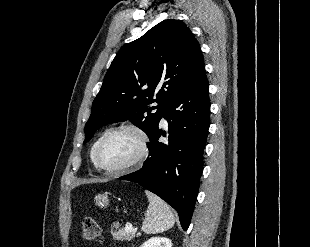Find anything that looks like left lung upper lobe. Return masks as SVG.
<instances>
[{"label":"left lung upper lobe","instance_id":"1","mask_svg":"<svg viewBox=\"0 0 310 247\" xmlns=\"http://www.w3.org/2000/svg\"><path fill=\"white\" fill-rule=\"evenodd\" d=\"M203 64L200 45L183 22H160L124 46L112 61L93 101L84 143L103 125L126 120L150 138L171 99ZM154 102L158 106H151Z\"/></svg>","mask_w":310,"mask_h":247}]
</instances>
